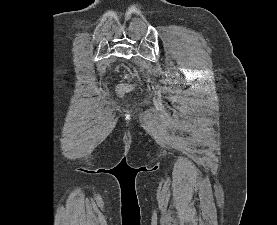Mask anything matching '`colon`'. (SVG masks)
Returning <instances> with one entry per match:
<instances>
[{"instance_id": "obj_1", "label": "colon", "mask_w": 277, "mask_h": 225, "mask_svg": "<svg viewBox=\"0 0 277 225\" xmlns=\"http://www.w3.org/2000/svg\"><path fill=\"white\" fill-rule=\"evenodd\" d=\"M134 91V87L130 84H121L116 88V92L120 96H124L126 94L132 93Z\"/></svg>"}]
</instances>
